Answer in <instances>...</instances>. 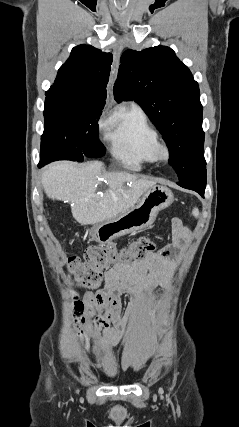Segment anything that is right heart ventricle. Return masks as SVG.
Masks as SVG:
<instances>
[{"label": "right heart ventricle", "mask_w": 239, "mask_h": 427, "mask_svg": "<svg viewBox=\"0 0 239 427\" xmlns=\"http://www.w3.org/2000/svg\"><path fill=\"white\" fill-rule=\"evenodd\" d=\"M106 138L115 159L133 170L155 162L153 147L158 133L145 112L136 105L116 113L110 120Z\"/></svg>", "instance_id": "e07e8e85"}]
</instances>
